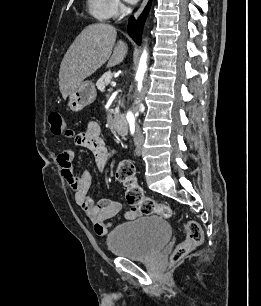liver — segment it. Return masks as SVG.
Wrapping results in <instances>:
<instances>
[{
  "mask_svg": "<svg viewBox=\"0 0 261 306\" xmlns=\"http://www.w3.org/2000/svg\"><path fill=\"white\" fill-rule=\"evenodd\" d=\"M116 36L115 27L97 23L87 26L76 37L60 65L59 89L63 99L107 61L110 68L124 60L128 48L122 40L114 47Z\"/></svg>",
  "mask_w": 261,
  "mask_h": 306,
  "instance_id": "6515ba94",
  "label": "liver"
}]
</instances>
